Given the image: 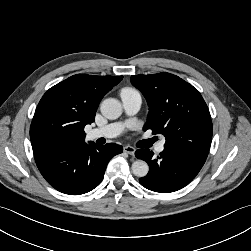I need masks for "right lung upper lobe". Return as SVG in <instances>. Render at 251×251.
I'll return each mask as SVG.
<instances>
[{"instance_id":"right-lung-upper-lobe-1","label":"right lung upper lobe","mask_w":251,"mask_h":251,"mask_svg":"<svg viewBox=\"0 0 251 251\" xmlns=\"http://www.w3.org/2000/svg\"><path fill=\"white\" fill-rule=\"evenodd\" d=\"M122 78L77 74L47 90L30 127L33 151L85 143V125L95 121L101 99Z\"/></svg>"}]
</instances>
